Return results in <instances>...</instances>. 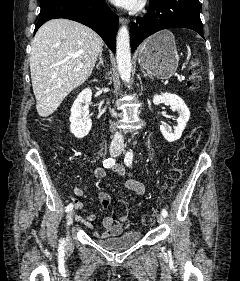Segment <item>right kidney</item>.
Segmentation results:
<instances>
[{
    "instance_id": "right-kidney-1",
    "label": "right kidney",
    "mask_w": 240,
    "mask_h": 281,
    "mask_svg": "<svg viewBox=\"0 0 240 281\" xmlns=\"http://www.w3.org/2000/svg\"><path fill=\"white\" fill-rule=\"evenodd\" d=\"M92 91L86 88L77 96L71 108L70 130L76 138H83L91 130L92 121L89 115V104L91 102Z\"/></svg>"
}]
</instances>
